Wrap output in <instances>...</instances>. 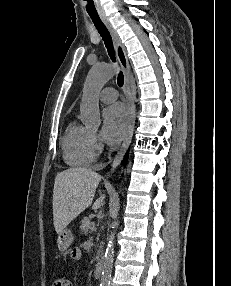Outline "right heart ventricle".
<instances>
[{"instance_id": "e07e8e85", "label": "right heart ventricle", "mask_w": 231, "mask_h": 286, "mask_svg": "<svg viewBox=\"0 0 231 286\" xmlns=\"http://www.w3.org/2000/svg\"><path fill=\"white\" fill-rule=\"evenodd\" d=\"M62 156L71 167H86L97 158L92 132L77 121H71L62 138Z\"/></svg>"}]
</instances>
